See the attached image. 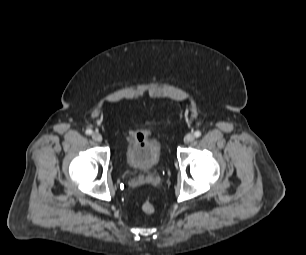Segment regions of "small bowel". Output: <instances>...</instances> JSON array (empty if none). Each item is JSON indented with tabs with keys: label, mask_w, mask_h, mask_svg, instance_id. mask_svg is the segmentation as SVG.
Returning <instances> with one entry per match:
<instances>
[{
	"label": "small bowel",
	"mask_w": 306,
	"mask_h": 255,
	"mask_svg": "<svg viewBox=\"0 0 306 255\" xmlns=\"http://www.w3.org/2000/svg\"><path fill=\"white\" fill-rule=\"evenodd\" d=\"M145 137V134L142 130L136 129L130 132V138L136 139V140H143Z\"/></svg>",
	"instance_id": "small-bowel-1"
}]
</instances>
